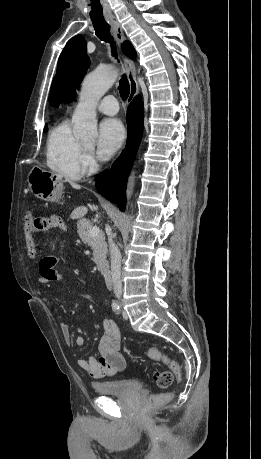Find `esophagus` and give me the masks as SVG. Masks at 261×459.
Segmentation results:
<instances>
[{"mask_svg": "<svg viewBox=\"0 0 261 459\" xmlns=\"http://www.w3.org/2000/svg\"><path fill=\"white\" fill-rule=\"evenodd\" d=\"M108 21L111 25L112 32L116 39L117 45L119 49H121V45L125 41L124 31L120 23L115 17H111ZM122 57H123V61H124L125 69H126L127 79H128L129 86H130V93H129L128 101H132L139 92L138 85L135 79V74H136L135 65H134L133 60H131L129 57L125 55H122Z\"/></svg>", "mask_w": 261, "mask_h": 459, "instance_id": "34e87169", "label": "esophagus"}]
</instances>
